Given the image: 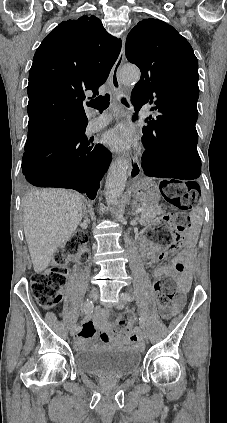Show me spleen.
<instances>
[{
  "mask_svg": "<svg viewBox=\"0 0 227 423\" xmlns=\"http://www.w3.org/2000/svg\"><path fill=\"white\" fill-rule=\"evenodd\" d=\"M202 211L198 210V208H195V210H192L190 213V219L192 223H196V225H201L202 223Z\"/></svg>",
  "mask_w": 227,
  "mask_h": 423,
  "instance_id": "3e777b00",
  "label": "spleen"
}]
</instances>
